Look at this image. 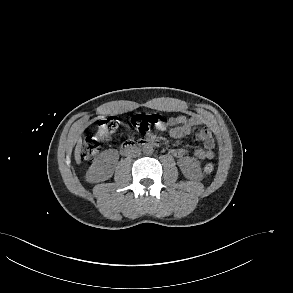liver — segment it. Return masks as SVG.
Listing matches in <instances>:
<instances>
[{
  "instance_id": "6515ba94",
  "label": "liver",
  "mask_w": 293,
  "mask_h": 293,
  "mask_svg": "<svg viewBox=\"0 0 293 293\" xmlns=\"http://www.w3.org/2000/svg\"><path fill=\"white\" fill-rule=\"evenodd\" d=\"M81 153H82V141L81 139L78 141L75 151H74V157L77 164H80L81 162Z\"/></svg>"
}]
</instances>
